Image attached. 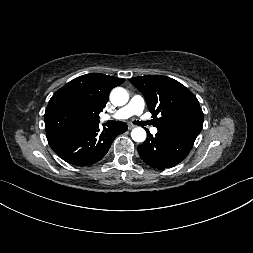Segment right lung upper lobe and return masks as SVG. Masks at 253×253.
<instances>
[{
    "instance_id": "1",
    "label": "right lung upper lobe",
    "mask_w": 253,
    "mask_h": 253,
    "mask_svg": "<svg viewBox=\"0 0 253 253\" xmlns=\"http://www.w3.org/2000/svg\"><path fill=\"white\" fill-rule=\"evenodd\" d=\"M124 81L101 73L82 75L56 91L50 101H69L86 115L93 126L99 122V113L105 107L110 91Z\"/></svg>"
}]
</instances>
